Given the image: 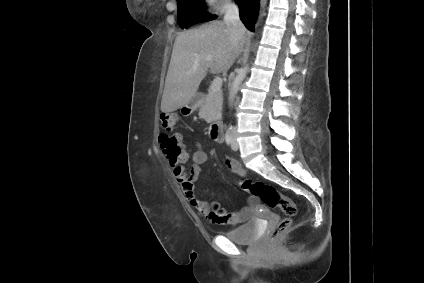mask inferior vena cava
<instances>
[{"mask_svg": "<svg viewBox=\"0 0 424 283\" xmlns=\"http://www.w3.org/2000/svg\"><path fill=\"white\" fill-rule=\"evenodd\" d=\"M224 23L230 30L232 43L236 46L243 37L245 28L239 17V8L235 3L228 2L226 4Z\"/></svg>", "mask_w": 424, "mask_h": 283, "instance_id": "obj_1", "label": "inferior vena cava"}]
</instances>
